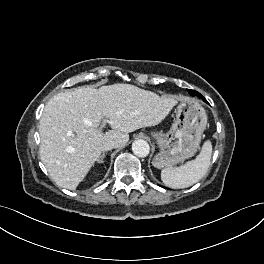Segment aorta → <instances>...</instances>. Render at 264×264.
<instances>
[{"mask_svg": "<svg viewBox=\"0 0 264 264\" xmlns=\"http://www.w3.org/2000/svg\"><path fill=\"white\" fill-rule=\"evenodd\" d=\"M132 151L138 157H146L150 152V146L147 141L138 139L132 143Z\"/></svg>", "mask_w": 264, "mask_h": 264, "instance_id": "obj_1", "label": "aorta"}]
</instances>
